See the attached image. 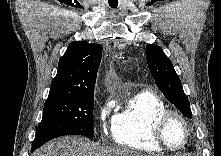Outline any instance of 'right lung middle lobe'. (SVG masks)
Wrapping results in <instances>:
<instances>
[{
  "mask_svg": "<svg viewBox=\"0 0 221 156\" xmlns=\"http://www.w3.org/2000/svg\"><path fill=\"white\" fill-rule=\"evenodd\" d=\"M94 92L47 100L38 125L32 151L63 135H93Z\"/></svg>",
  "mask_w": 221,
  "mask_h": 156,
  "instance_id": "obj_1",
  "label": "right lung middle lobe"
}]
</instances>
